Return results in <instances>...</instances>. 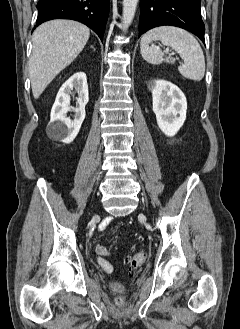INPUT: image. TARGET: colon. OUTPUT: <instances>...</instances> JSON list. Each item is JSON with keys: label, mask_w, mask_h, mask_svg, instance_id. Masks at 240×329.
Segmentation results:
<instances>
[{"label": "colon", "mask_w": 240, "mask_h": 329, "mask_svg": "<svg viewBox=\"0 0 240 329\" xmlns=\"http://www.w3.org/2000/svg\"><path fill=\"white\" fill-rule=\"evenodd\" d=\"M145 259H146V254L142 251L137 252L131 256H128L126 259V264H127L128 270L131 272L135 271L137 268H139L144 263ZM115 301L118 304H122L125 302V297L118 295L115 297Z\"/></svg>", "instance_id": "obj_1"}]
</instances>
